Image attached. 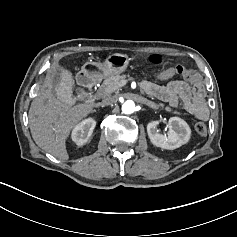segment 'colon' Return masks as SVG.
Instances as JSON below:
<instances>
[{
	"label": "colon",
	"mask_w": 237,
	"mask_h": 237,
	"mask_svg": "<svg viewBox=\"0 0 237 237\" xmlns=\"http://www.w3.org/2000/svg\"><path fill=\"white\" fill-rule=\"evenodd\" d=\"M149 61L152 64H161L163 58L159 55H152L149 57ZM175 73L183 77L185 80H191L194 77V73L187 67L177 66L175 68ZM195 130L200 135H205L207 133L208 127L205 122H197L195 125Z\"/></svg>",
	"instance_id": "1"
}]
</instances>
